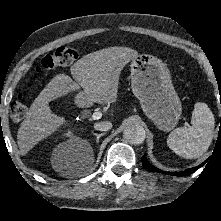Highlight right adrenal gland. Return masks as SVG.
Segmentation results:
<instances>
[{"label":"right adrenal gland","mask_w":221,"mask_h":221,"mask_svg":"<svg viewBox=\"0 0 221 221\" xmlns=\"http://www.w3.org/2000/svg\"><path fill=\"white\" fill-rule=\"evenodd\" d=\"M92 134L94 135V136H96V143H98L99 142V139H100V137H102L105 133H100V134H97V133H95V132H93L92 131Z\"/></svg>","instance_id":"1"}]
</instances>
